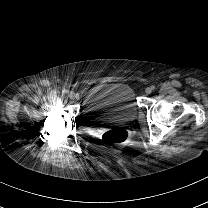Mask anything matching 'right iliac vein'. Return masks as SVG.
I'll return each instance as SVG.
<instances>
[{
	"label": "right iliac vein",
	"instance_id": "obj_1",
	"mask_svg": "<svg viewBox=\"0 0 208 208\" xmlns=\"http://www.w3.org/2000/svg\"><path fill=\"white\" fill-rule=\"evenodd\" d=\"M75 97H76L75 93L71 91V92L69 93V98H70V99H75Z\"/></svg>",
	"mask_w": 208,
	"mask_h": 208
}]
</instances>
